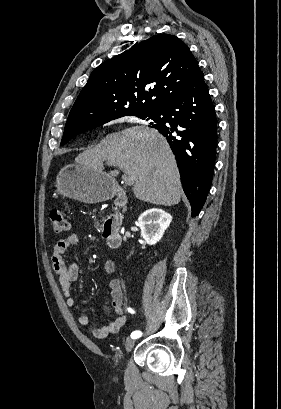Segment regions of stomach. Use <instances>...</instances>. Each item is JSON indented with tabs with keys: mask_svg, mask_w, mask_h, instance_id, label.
<instances>
[{
	"mask_svg": "<svg viewBox=\"0 0 281 409\" xmlns=\"http://www.w3.org/2000/svg\"><path fill=\"white\" fill-rule=\"evenodd\" d=\"M56 186L58 194L76 198L80 202H90V205L113 198L118 188L116 180H111L108 174L79 162L61 168Z\"/></svg>",
	"mask_w": 281,
	"mask_h": 409,
	"instance_id": "0dacf381",
	"label": "stomach"
}]
</instances>
